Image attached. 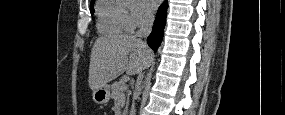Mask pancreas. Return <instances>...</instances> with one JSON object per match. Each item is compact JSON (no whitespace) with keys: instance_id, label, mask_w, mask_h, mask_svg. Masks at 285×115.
Segmentation results:
<instances>
[{"instance_id":"cf45deb5","label":"pancreas","mask_w":285,"mask_h":115,"mask_svg":"<svg viewBox=\"0 0 285 115\" xmlns=\"http://www.w3.org/2000/svg\"><path fill=\"white\" fill-rule=\"evenodd\" d=\"M111 98L114 100H118L121 96V94L125 91H127V86L122 84L121 82H114L111 86ZM130 95V92H128V96ZM128 103V99H127Z\"/></svg>"}]
</instances>
